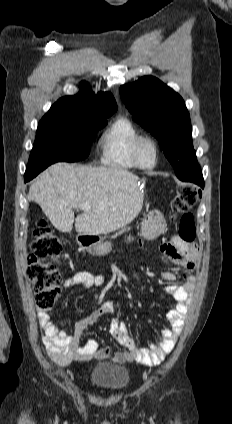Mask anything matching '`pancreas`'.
<instances>
[{
	"mask_svg": "<svg viewBox=\"0 0 232 424\" xmlns=\"http://www.w3.org/2000/svg\"><path fill=\"white\" fill-rule=\"evenodd\" d=\"M126 230H129V228H124V229H122L118 234H121L122 232H124V231H126Z\"/></svg>",
	"mask_w": 232,
	"mask_h": 424,
	"instance_id": "cf45deb5",
	"label": "pancreas"
}]
</instances>
